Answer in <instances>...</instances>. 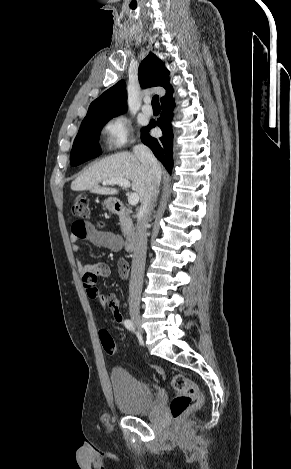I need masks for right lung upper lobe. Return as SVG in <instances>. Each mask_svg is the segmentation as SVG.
<instances>
[{
    "label": "right lung upper lobe",
    "mask_w": 291,
    "mask_h": 469,
    "mask_svg": "<svg viewBox=\"0 0 291 469\" xmlns=\"http://www.w3.org/2000/svg\"><path fill=\"white\" fill-rule=\"evenodd\" d=\"M168 75L165 64L153 53H149L139 66L138 78L143 88L162 86L166 89L161 101L173 92ZM126 100L125 83L121 80L90 104L84 120L120 115L126 111Z\"/></svg>",
    "instance_id": "right-lung-upper-lobe-1"
}]
</instances>
